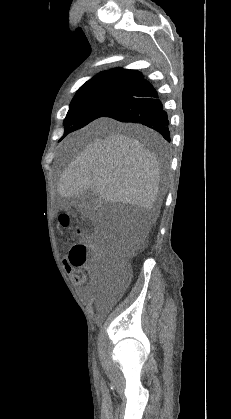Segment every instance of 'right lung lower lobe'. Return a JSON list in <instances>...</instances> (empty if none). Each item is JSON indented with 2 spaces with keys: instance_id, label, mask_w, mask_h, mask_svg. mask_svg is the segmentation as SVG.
<instances>
[{
  "instance_id": "right-lung-lower-lobe-1",
  "label": "right lung lower lobe",
  "mask_w": 231,
  "mask_h": 419,
  "mask_svg": "<svg viewBox=\"0 0 231 419\" xmlns=\"http://www.w3.org/2000/svg\"><path fill=\"white\" fill-rule=\"evenodd\" d=\"M105 117L122 122L140 123L159 132L170 142L167 113L152 85L142 79L132 93L119 105L111 109Z\"/></svg>"
}]
</instances>
